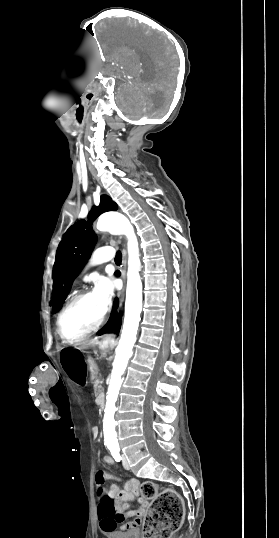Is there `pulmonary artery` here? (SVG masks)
<instances>
[{
  "label": "pulmonary artery",
  "instance_id": "obj_1",
  "mask_svg": "<svg viewBox=\"0 0 279 538\" xmlns=\"http://www.w3.org/2000/svg\"><path fill=\"white\" fill-rule=\"evenodd\" d=\"M110 259H111V258H110L109 256H107V257L101 258V259L99 260V262H106V261H109Z\"/></svg>",
  "mask_w": 279,
  "mask_h": 538
}]
</instances>
